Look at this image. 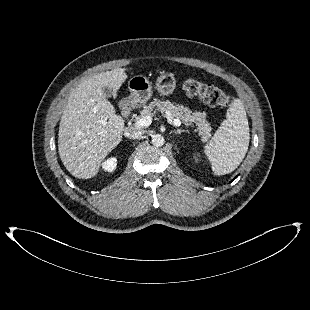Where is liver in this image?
Returning <instances> with one entry per match:
<instances>
[{
    "instance_id": "1",
    "label": "liver",
    "mask_w": 310,
    "mask_h": 310,
    "mask_svg": "<svg viewBox=\"0 0 310 310\" xmlns=\"http://www.w3.org/2000/svg\"><path fill=\"white\" fill-rule=\"evenodd\" d=\"M124 68L101 72L80 83L70 94L62 114L58 151L66 169L80 179L97 175L101 162L120 143L124 120L104 95L114 94L127 79Z\"/></svg>"
}]
</instances>
